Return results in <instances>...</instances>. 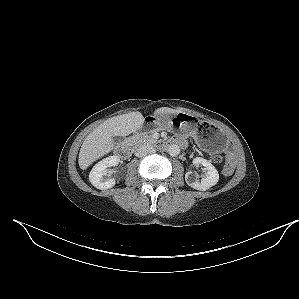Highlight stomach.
Wrapping results in <instances>:
<instances>
[{
	"label": "stomach",
	"instance_id": "0dacf381",
	"mask_svg": "<svg viewBox=\"0 0 299 299\" xmlns=\"http://www.w3.org/2000/svg\"><path fill=\"white\" fill-rule=\"evenodd\" d=\"M176 125H178L180 133L190 134L198 146L205 151H220L226 143L227 138L218 127L206 122H195L193 116L187 113H178L174 116L154 115L147 117L140 131L173 130Z\"/></svg>",
	"mask_w": 299,
	"mask_h": 299
}]
</instances>
